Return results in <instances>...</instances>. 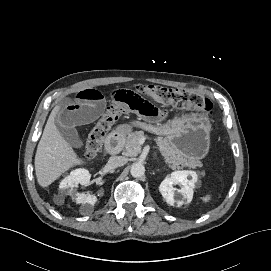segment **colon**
<instances>
[{
    "instance_id": "colon-1",
    "label": "colon",
    "mask_w": 271,
    "mask_h": 271,
    "mask_svg": "<svg viewBox=\"0 0 271 271\" xmlns=\"http://www.w3.org/2000/svg\"><path fill=\"white\" fill-rule=\"evenodd\" d=\"M138 91L162 104L178 108L191 107L205 115L212 114L213 106L210 100L194 92L161 86H144L140 87ZM123 113L124 107L120 104L113 103L107 108L88 134L85 147V154L88 158H94L99 154L107 132Z\"/></svg>"
}]
</instances>
